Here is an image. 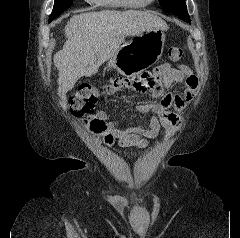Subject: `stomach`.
<instances>
[{
    "label": "stomach",
    "mask_w": 240,
    "mask_h": 238,
    "mask_svg": "<svg viewBox=\"0 0 240 238\" xmlns=\"http://www.w3.org/2000/svg\"><path fill=\"white\" fill-rule=\"evenodd\" d=\"M165 30L151 29L124 43L108 62L124 76H133L154 65L162 56Z\"/></svg>",
    "instance_id": "1"
}]
</instances>
